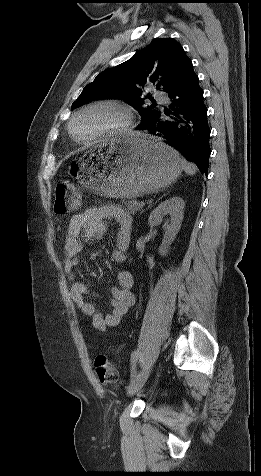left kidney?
I'll return each instance as SVG.
<instances>
[{"label":"left kidney","mask_w":261,"mask_h":476,"mask_svg":"<svg viewBox=\"0 0 261 476\" xmlns=\"http://www.w3.org/2000/svg\"><path fill=\"white\" fill-rule=\"evenodd\" d=\"M185 202L181 197L173 196L161 202L150 214L148 223L151 226H158L162 223L165 215H170L163 225L165 235L159 247V254L166 256L169 246L178 234L183 220Z\"/></svg>","instance_id":"obj_1"}]
</instances>
